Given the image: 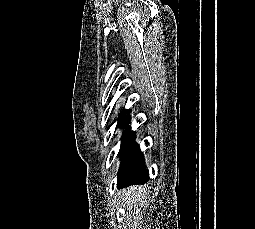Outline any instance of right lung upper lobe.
<instances>
[{"mask_svg": "<svg viewBox=\"0 0 255 229\" xmlns=\"http://www.w3.org/2000/svg\"><path fill=\"white\" fill-rule=\"evenodd\" d=\"M128 112H129V110H124V109H123V111L121 112V117L126 116L125 114L128 113Z\"/></svg>", "mask_w": 255, "mask_h": 229, "instance_id": "cb5924a9", "label": "right lung upper lobe"}]
</instances>
